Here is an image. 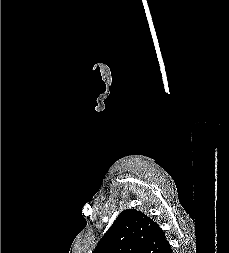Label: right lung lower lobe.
<instances>
[{
  "instance_id": "right-lung-lower-lobe-1",
  "label": "right lung lower lobe",
  "mask_w": 229,
  "mask_h": 253,
  "mask_svg": "<svg viewBox=\"0 0 229 253\" xmlns=\"http://www.w3.org/2000/svg\"><path fill=\"white\" fill-rule=\"evenodd\" d=\"M164 253H172V249L171 246L169 245V247L164 251Z\"/></svg>"
}]
</instances>
